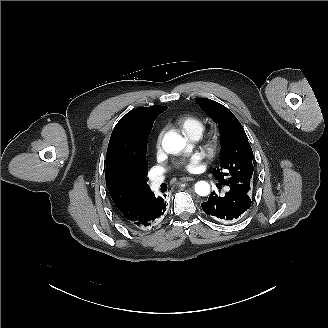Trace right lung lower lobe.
Returning a JSON list of instances; mask_svg holds the SVG:
<instances>
[{"instance_id": "98d812e1", "label": "right lung lower lobe", "mask_w": 328, "mask_h": 328, "mask_svg": "<svg viewBox=\"0 0 328 328\" xmlns=\"http://www.w3.org/2000/svg\"><path fill=\"white\" fill-rule=\"evenodd\" d=\"M164 197L166 196L164 195ZM164 197H156L153 194L137 222L131 224L124 221V223L133 229L149 230L155 227L166 211Z\"/></svg>"}]
</instances>
